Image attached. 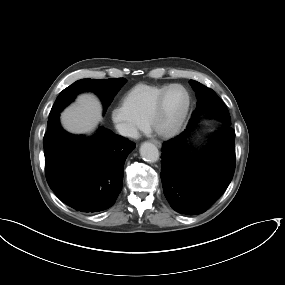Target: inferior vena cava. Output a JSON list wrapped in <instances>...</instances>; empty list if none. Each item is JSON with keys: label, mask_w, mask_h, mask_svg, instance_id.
I'll list each match as a JSON object with an SVG mask.
<instances>
[{"label": "inferior vena cava", "mask_w": 285, "mask_h": 285, "mask_svg": "<svg viewBox=\"0 0 285 285\" xmlns=\"http://www.w3.org/2000/svg\"><path fill=\"white\" fill-rule=\"evenodd\" d=\"M117 130L120 135L125 136V137L137 138L139 135L137 129L133 125L126 124V123L118 124Z\"/></svg>", "instance_id": "obj_1"}]
</instances>
